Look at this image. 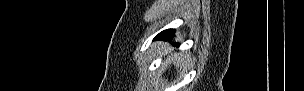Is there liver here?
<instances>
[{"label": "liver", "instance_id": "6515ba94", "mask_svg": "<svg viewBox=\"0 0 304 91\" xmlns=\"http://www.w3.org/2000/svg\"><path fill=\"white\" fill-rule=\"evenodd\" d=\"M174 57L177 58V55H175ZM183 59H184V58L182 57L181 60L183 61ZM178 60H180V58H179Z\"/></svg>", "mask_w": 304, "mask_h": 91}]
</instances>
